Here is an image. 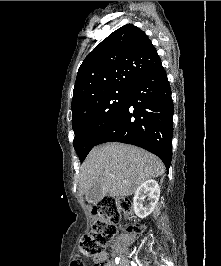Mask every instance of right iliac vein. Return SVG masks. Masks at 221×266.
Instances as JSON below:
<instances>
[{
	"instance_id": "obj_1",
	"label": "right iliac vein",
	"mask_w": 221,
	"mask_h": 266,
	"mask_svg": "<svg viewBox=\"0 0 221 266\" xmlns=\"http://www.w3.org/2000/svg\"><path fill=\"white\" fill-rule=\"evenodd\" d=\"M119 266H128V252H125L122 256Z\"/></svg>"
}]
</instances>
